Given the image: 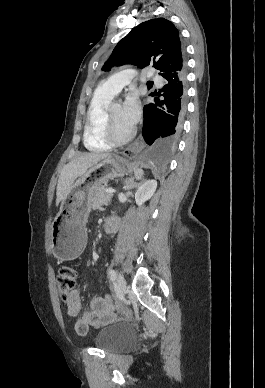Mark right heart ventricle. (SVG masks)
I'll return each instance as SVG.
<instances>
[{
  "instance_id": "1",
  "label": "right heart ventricle",
  "mask_w": 265,
  "mask_h": 388,
  "mask_svg": "<svg viewBox=\"0 0 265 388\" xmlns=\"http://www.w3.org/2000/svg\"><path fill=\"white\" fill-rule=\"evenodd\" d=\"M116 91H95V97L89 107L84 129L85 145L92 151H105L111 148V143L106 141L101 134V119L105 109L113 105Z\"/></svg>"
}]
</instances>
